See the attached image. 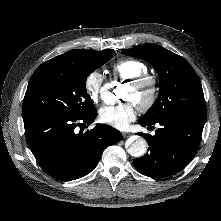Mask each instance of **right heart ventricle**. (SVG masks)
Wrapping results in <instances>:
<instances>
[{"instance_id": "obj_1", "label": "right heart ventricle", "mask_w": 221, "mask_h": 221, "mask_svg": "<svg viewBox=\"0 0 221 221\" xmlns=\"http://www.w3.org/2000/svg\"><path fill=\"white\" fill-rule=\"evenodd\" d=\"M147 72V65L136 59H120L112 66L113 75L121 80H130Z\"/></svg>"}]
</instances>
